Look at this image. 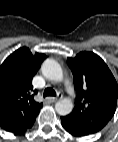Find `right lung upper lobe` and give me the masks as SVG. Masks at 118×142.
<instances>
[{
    "instance_id": "cb5924a9",
    "label": "right lung upper lobe",
    "mask_w": 118,
    "mask_h": 142,
    "mask_svg": "<svg viewBox=\"0 0 118 142\" xmlns=\"http://www.w3.org/2000/svg\"><path fill=\"white\" fill-rule=\"evenodd\" d=\"M45 54L32 55L22 47L0 66V127L20 134L31 128L42 103L34 100L32 78L38 71Z\"/></svg>"
}]
</instances>
